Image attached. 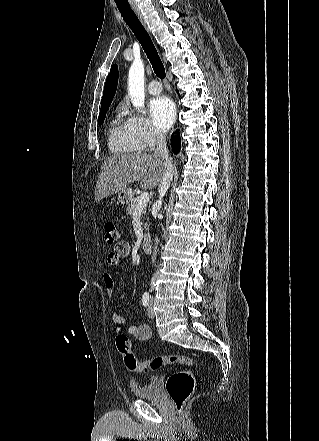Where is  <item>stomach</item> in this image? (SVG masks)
Here are the masks:
<instances>
[{
  "instance_id": "stomach-1",
  "label": "stomach",
  "mask_w": 319,
  "mask_h": 441,
  "mask_svg": "<svg viewBox=\"0 0 319 441\" xmlns=\"http://www.w3.org/2000/svg\"><path fill=\"white\" fill-rule=\"evenodd\" d=\"M118 202L121 204H128L133 199V194L130 189H124L118 193Z\"/></svg>"
}]
</instances>
